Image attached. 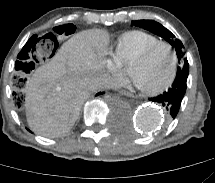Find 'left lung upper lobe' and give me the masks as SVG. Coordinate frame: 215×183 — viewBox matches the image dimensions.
Returning <instances> with one entry per match:
<instances>
[{
	"label": "left lung upper lobe",
	"instance_id": "obj_1",
	"mask_svg": "<svg viewBox=\"0 0 215 183\" xmlns=\"http://www.w3.org/2000/svg\"><path fill=\"white\" fill-rule=\"evenodd\" d=\"M132 25L149 30L150 32L168 41L172 46H174L178 56V60L184 63L182 67L178 68L177 74L189 72V64L187 59L185 58L184 46L181 41L176 39L175 36L168 29L153 20L132 21Z\"/></svg>",
	"mask_w": 215,
	"mask_h": 183
}]
</instances>
